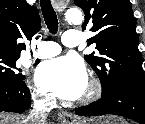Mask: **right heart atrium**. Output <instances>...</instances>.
I'll return each mask as SVG.
<instances>
[{"label":"right heart atrium","instance_id":"d8ad5b80","mask_svg":"<svg viewBox=\"0 0 145 124\" xmlns=\"http://www.w3.org/2000/svg\"><path fill=\"white\" fill-rule=\"evenodd\" d=\"M33 96L37 100V102L41 105L50 106L54 103V98L51 94L43 91L39 88H33Z\"/></svg>","mask_w":145,"mask_h":124}]
</instances>
